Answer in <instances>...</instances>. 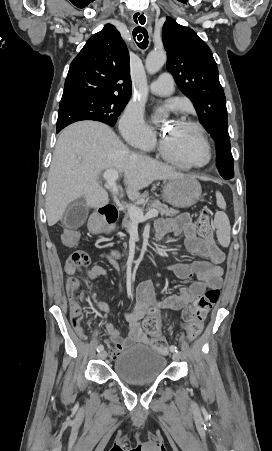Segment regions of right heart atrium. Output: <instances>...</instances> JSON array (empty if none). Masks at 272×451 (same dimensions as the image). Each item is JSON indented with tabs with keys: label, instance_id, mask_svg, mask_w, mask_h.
Here are the masks:
<instances>
[{
	"label": "right heart atrium",
	"instance_id": "1",
	"mask_svg": "<svg viewBox=\"0 0 272 451\" xmlns=\"http://www.w3.org/2000/svg\"><path fill=\"white\" fill-rule=\"evenodd\" d=\"M120 126L127 142L136 148H146L154 140V133L144 120L143 111L130 106L124 112Z\"/></svg>",
	"mask_w": 272,
	"mask_h": 451
}]
</instances>
